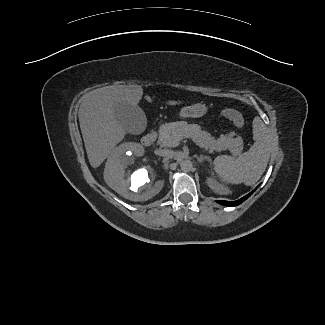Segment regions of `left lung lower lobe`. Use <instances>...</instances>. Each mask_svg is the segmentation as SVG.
Segmentation results:
<instances>
[{"label": "left lung lower lobe", "mask_w": 325, "mask_h": 325, "mask_svg": "<svg viewBox=\"0 0 325 325\" xmlns=\"http://www.w3.org/2000/svg\"><path fill=\"white\" fill-rule=\"evenodd\" d=\"M253 192H254V190L252 192H250L249 194H247L246 196H244L241 199L236 200V201L217 200V203L222 204L224 206H237V205L241 204L243 201H245Z\"/></svg>", "instance_id": "0a47b994"}]
</instances>
